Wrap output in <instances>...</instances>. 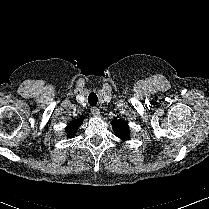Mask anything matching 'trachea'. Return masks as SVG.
Returning a JSON list of instances; mask_svg holds the SVG:
<instances>
[{
  "label": "trachea",
  "mask_w": 209,
  "mask_h": 209,
  "mask_svg": "<svg viewBox=\"0 0 209 209\" xmlns=\"http://www.w3.org/2000/svg\"><path fill=\"white\" fill-rule=\"evenodd\" d=\"M97 101H98L97 95L94 92L90 93L89 96H88V103L91 106H96Z\"/></svg>",
  "instance_id": "obj_1"
}]
</instances>
